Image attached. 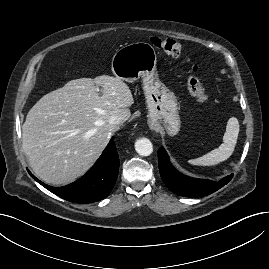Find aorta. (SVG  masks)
Segmentation results:
<instances>
[{"label": "aorta", "instance_id": "aorta-1", "mask_svg": "<svg viewBox=\"0 0 269 269\" xmlns=\"http://www.w3.org/2000/svg\"><path fill=\"white\" fill-rule=\"evenodd\" d=\"M135 150L141 156H149L153 152V145L147 138H140L135 142Z\"/></svg>", "mask_w": 269, "mask_h": 269}]
</instances>
